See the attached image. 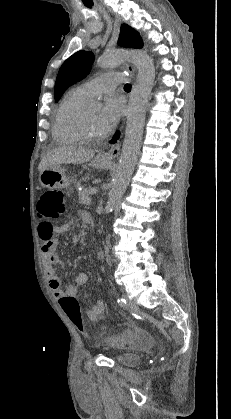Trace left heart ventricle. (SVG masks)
<instances>
[{
	"label": "left heart ventricle",
	"instance_id": "1",
	"mask_svg": "<svg viewBox=\"0 0 231 419\" xmlns=\"http://www.w3.org/2000/svg\"><path fill=\"white\" fill-rule=\"evenodd\" d=\"M99 111L97 109H87L86 123L87 128L93 135H102L101 128L98 122Z\"/></svg>",
	"mask_w": 231,
	"mask_h": 419
}]
</instances>
